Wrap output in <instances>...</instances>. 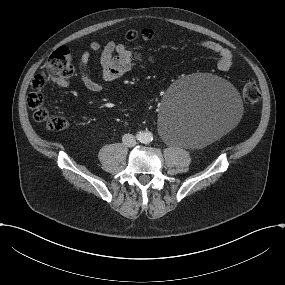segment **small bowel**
<instances>
[{
  "label": "small bowel",
  "mask_w": 285,
  "mask_h": 285,
  "mask_svg": "<svg viewBox=\"0 0 285 285\" xmlns=\"http://www.w3.org/2000/svg\"><path fill=\"white\" fill-rule=\"evenodd\" d=\"M199 46L217 54V66L221 71H228L233 64L231 51L220 43L211 40L201 41ZM91 53L98 54L101 66L102 81L95 80L90 72ZM152 61L151 57H145L141 53L132 50L127 44L116 43L112 40L102 46L97 41L89 45V50L82 52L78 59V75L84 87L91 92L106 90L115 80L120 79L135 66ZM63 82L62 86L66 85Z\"/></svg>",
  "instance_id": "1"
}]
</instances>
